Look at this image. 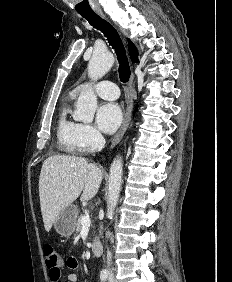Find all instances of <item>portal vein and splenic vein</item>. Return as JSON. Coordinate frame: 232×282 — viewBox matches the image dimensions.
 <instances>
[{"mask_svg":"<svg viewBox=\"0 0 232 282\" xmlns=\"http://www.w3.org/2000/svg\"><path fill=\"white\" fill-rule=\"evenodd\" d=\"M81 224L83 227H90L91 220H90L89 215H85L81 218Z\"/></svg>","mask_w":232,"mask_h":282,"instance_id":"1","label":"portal vein and splenic vein"}]
</instances>
